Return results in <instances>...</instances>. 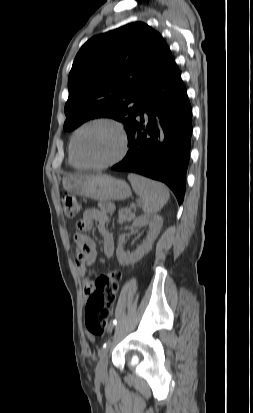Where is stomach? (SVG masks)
I'll list each match as a JSON object with an SVG mask.
<instances>
[{
  "mask_svg": "<svg viewBox=\"0 0 253 413\" xmlns=\"http://www.w3.org/2000/svg\"><path fill=\"white\" fill-rule=\"evenodd\" d=\"M63 187L73 195L98 201L124 200L131 195V189L124 180L104 174L69 176L63 180Z\"/></svg>",
  "mask_w": 253,
  "mask_h": 413,
  "instance_id": "obj_1",
  "label": "stomach"
}]
</instances>
